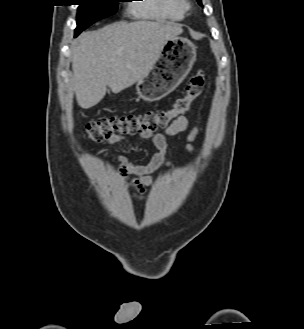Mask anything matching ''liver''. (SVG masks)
<instances>
[{"label":"liver","mask_w":304,"mask_h":329,"mask_svg":"<svg viewBox=\"0 0 304 329\" xmlns=\"http://www.w3.org/2000/svg\"><path fill=\"white\" fill-rule=\"evenodd\" d=\"M183 32L172 22L114 23L84 32L72 54L73 85L81 108L98 104L143 79L165 42Z\"/></svg>","instance_id":"liver-1"}]
</instances>
